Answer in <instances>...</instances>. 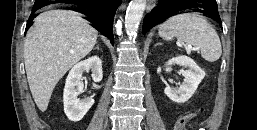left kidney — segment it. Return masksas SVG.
Segmentation results:
<instances>
[{
    "mask_svg": "<svg viewBox=\"0 0 257 130\" xmlns=\"http://www.w3.org/2000/svg\"><path fill=\"white\" fill-rule=\"evenodd\" d=\"M177 64L187 68V70L182 71L184 76V81L179 88L166 87L164 93L174 102L184 103L188 101L194 92L196 91L198 85L205 77V72L202 70L193 59L187 56H178L170 59L166 63V72L172 70L171 65Z\"/></svg>",
    "mask_w": 257,
    "mask_h": 130,
    "instance_id": "5707ae66",
    "label": "left kidney"
}]
</instances>
